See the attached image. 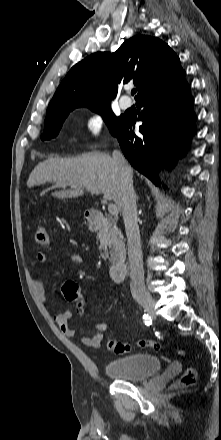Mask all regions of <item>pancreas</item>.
Returning <instances> with one entry per match:
<instances>
[{
  "mask_svg": "<svg viewBox=\"0 0 221 440\" xmlns=\"http://www.w3.org/2000/svg\"><path fill=\"white\" fill-rule=\"evenodd\" d=\"M109 235H112V237L114 238L112 251L116 253L118 260H122L125 255V246L122 234L120 230L117 229L114 222H109L108 232L99 231L97 238L100 241V248H103L106 245V241L109 239Z\"/></svg>",
  "mask_w": 221,
  "mask_h": 440,
  "instance_id": "cf45deb5",
  "label": "pancreas"
}]
</instances>
